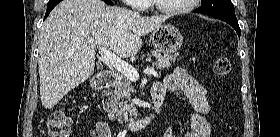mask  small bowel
Segmentation results:
<instances>
[{"mask_svg":"<svg viewBox=\"0 0 280 137\" xmlns=\"http://www.w3.org/2000/svg\"><path fill=\"white\" fill-rule=\"evenodd\" d=\"M159 84H161L164 91L169 90L182 93L194 107V112L188 117L187 128L183 136L209 137L212 126L207 117L211 112L207 88L192 77L186 69L181 67L176 68L173 73L165 78L163 83ZM180 127V124L169 127L162 137H176ZM104 129L108 128L101 124L98 134L93 135V137H103Z\"/></svg>","mask_w":280,"mask_h":137,"instance_id":"1","label":"small bowel"}]
</instances>
